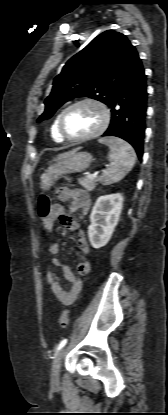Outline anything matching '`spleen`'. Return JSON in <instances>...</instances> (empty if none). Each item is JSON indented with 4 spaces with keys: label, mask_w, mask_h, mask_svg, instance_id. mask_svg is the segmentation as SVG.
<instances>
[{
    "label": "spleen",
    "mask_w": 168,
    "mask_h": 415,
    "mask_svg": "<svg viewBox=\"0 0 168 415\" xmlns=\"http://www.w3.org/2000/svg\"><path fill=\"white\" fill-rule=\"evenodd\" d=\"M99 142L110 149V165L99 177V181L103 185H110L120 181L131 171L136 161V154L129 143L119 138H101Z\"/></svg>",
    "instance_id": "obj_1"
}]
</instances>
